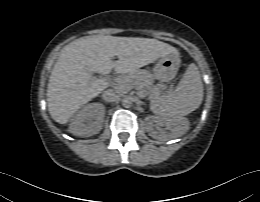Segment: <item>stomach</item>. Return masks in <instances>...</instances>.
<instances>
[{
  "mask_svg": "<svg viewBox=\"0 0 260 202\" xmlns=\"http://www.w3.org/2000/svg\"><path fill=\"white\" fill-rule=\"evenodd\" d=\"M178 68L179 59L176 54L161 56L153 68L154 77L161 82H168L175 77Z\"/></svg>",
  "mask_w": 260,
  "mask_h": 202,
  "instance_id": "stomach-1",
  "label": "stomach"
}]
</instances>
